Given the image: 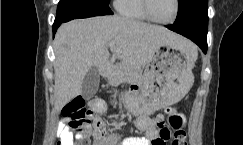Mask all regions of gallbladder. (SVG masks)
I'll return each instance as SVG.
<instances>
[{
	"label": "gallbladder",
	"instance_id": "gallbladder-1",
	"mask_svg": "<svg viewBox=\"0 0 243 145\" xmlns=\"http://www.w3.org/2000/svg\"><path fill=\"white\" fill-rule=\"evenodd\" d=\"M100 75L96 67H91L82 82V96L85 99L92 98L99 87Z\"/></svg>",
	"mask_w": 243,
	"mask_h": 145
}]
</instances>
